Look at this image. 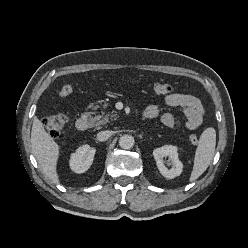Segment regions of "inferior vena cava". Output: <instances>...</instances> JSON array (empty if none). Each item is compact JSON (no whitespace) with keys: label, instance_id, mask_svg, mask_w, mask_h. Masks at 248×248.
<instances>
[{"label":"inferior vena cava","instance_id":"inferior-vena-cava-1","mask_svg":"<svg viewBox=\"0 0 248 248\" xmlns=\"http://www.w3.org/2000/svg\"><path fill=\"white\" fill-rule=\"evenodd\" d=\"M111 134V131H101L97 134V140L106 141L111 136Z\"/></svg>","mask_w":248,"mask_h":248}]
</instances>
